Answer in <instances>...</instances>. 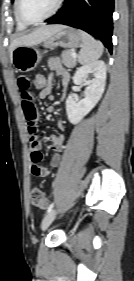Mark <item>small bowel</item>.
<instances>
[{"instance_id":"obj_1","label":"small bowel","mask_w":134,"mask_h":281,"mask_svg":"<svg viewBox=\"0 0 134 281\" xmlns=\"http://www.w3.org/2000/svg\"><path fill=\"white\" fill-rule=\"evenodd\" d=\"M48 67L60 76L63 90H66L70 82V75L62 66L60 59L57 57H51L48 60ZM52 82L53 77L50 75L48 77L46 88L39 93V97L41 99L53 100V96L51 94ZM16 84L20 90L22 110L27 122L28 131L32 136L30 171L35 176L46 177L51 173L52 169L59 165L61 161V152L64 148L65 136L63 134H52L50 136L51 148L53 150L50 165L48 167L41 166L40 163L43 160V153L40 150L41 144L36 136L38 132V110L34 95L31 91L32 81L28 75L21 74L17 77ZM58 125L61 130H64L63 121H59Z\"/></svg>"}]
</instances>
